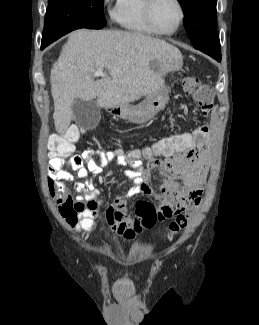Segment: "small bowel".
I'll return each mask as SVG.
<instances>
[{"label": "small bowel", "instance_id": "c3829d8e", "mask_svg": "<svg viewBox=\"0 0 259 325\" xmlns=\"http://www.w3.org/2000/svg\"><path fill=\"white\" fill-rule=\"evenodd\" d=\"M197 133V129L193 131V135ZM178 135L183 133L166 138H178ZM207 137L198 142V149L161 150L148 157L140 156L138 151L126 154L122 150L87 149L65 163L50 152L47 169L49 186L61 215L78 232L90 233L100 229L107 235L133 239L141 227L139 219L126 210L129 198L140 194L154 197L158 202V219L165 220L184 210L201 195L209 170ZM94 156H98L99 163ZM108 166H128L124 174L132 185L106 208L107 226H100L95 220L97 206L102 204V191L89 179V175L97 177ZM154 171H159L163 177L157 190L149 184ZM73 174L78 179L74 184L78 193L75 198L71 197L65 185V182L73 180Z\"/></svg>", "mask_w": 259, "mask_h": 325}]
</instances>
